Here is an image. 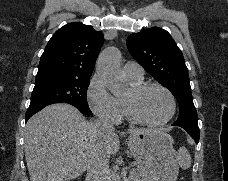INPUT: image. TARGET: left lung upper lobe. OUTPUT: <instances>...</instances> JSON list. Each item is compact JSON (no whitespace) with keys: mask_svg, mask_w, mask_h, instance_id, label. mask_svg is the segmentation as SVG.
Here are the masks:
<instances>
[{"mask_svg":"<svg viewBox=\"0 0 228 181\" xmlns=\"http://www.w3.org/2000/svg\"><path fill=\"white\" fill-rule=\"evenodd\" d=\"M127 47L133 58L177 99L180 113L173 125L199 129L188 69L171 35L158 27L145 29L129 35Z\"/></svg>","mask_w":228,"mask_h":181,"instance_id":"left-lung-upper-lobe-1","label":"left lung upper lobe"}]
</instances>
